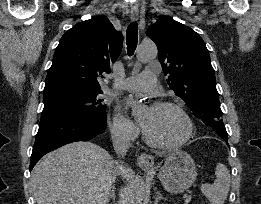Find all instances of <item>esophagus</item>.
<instances>
[{
	"label": "esophagus",
	"mask_w": 261,
	"mask_h": 204,
	"mask_svg": "<svg viewBox=\"0 0 261 204\" xmlns=\"http://www.w3.org/2000/svg\"><path fill=\"white\" fill-rule=\"evenodd\" d=\"M139 17V9L137 6H132L130 11V18L136 21ZM138 165L143 169H150L154 166V157L147 153H141L137 159Z\"/></svg>",
	"instance_id": "1"
}]
</instances>
